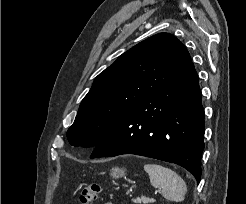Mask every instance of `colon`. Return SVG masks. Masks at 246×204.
<instances>
[{
    "instance_id": "colon-1",
    "label": "colon",
    "mask_w": 246,
    "mask_h": 204,
    "mask_svg": "<svg viewBox=\"0 0 246 204\" xmlns=\"http://www.w3.org/2000/svg\"><path fill=\"white\" fill-rule=\"evenodd\" d=\"M100 190L101 188L97 183H92L85 186L79 194V200L81 204H92L97 198Z\"/></svg>"
}]
</instances>
